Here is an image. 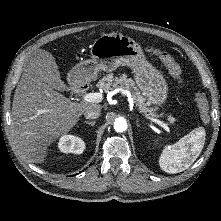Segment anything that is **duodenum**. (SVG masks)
<instances>
[{"label": "duodenum", "mask_w": 221, "mask_h": 221, "mask_svg": "<svg viewBox=\"0 0 221 221\" xmlns=\"http://www.w3.org/2000/svg\"><path fill=\"white\" fill-rule=\"evenodd\" d=\"M78 89H82L83 87L82 86H79V87H77Z\"/></svg>", "instance_id": "obj_1"}]
</instances>
